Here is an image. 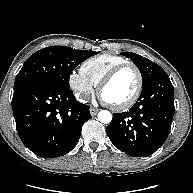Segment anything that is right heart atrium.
<instances>
[{
    "label": "right heart atrium",
    "mask_w": 193,
    "mask_h": 193,
    "mask_svg": "<svg viewBox=\"0 0 193 193\" xmlns=\"http://www.w3.org/2000/svg\"><path fill=\"white\" fill-rule=\"evenodd\" d=\"M68 85L75 98L81 103H86L94 93V85L81 71L73 70L70 72Z\"/></svg>",
    "instance_id": "1"
}]
</instances>
